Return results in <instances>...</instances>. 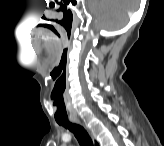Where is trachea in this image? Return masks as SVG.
<instances>
[{
    "instance_id": "trachea-1",
    "label": "trachea",
    "mask_w": 164,
    "mask_h": 146,
    "mask_svg": "<svg viewBox=\"0 0 164 146\" xmlns=\"http://www.w3.org/2000/svg\"><path fill=\"white\" fill-rule=\"evenodd\" d=\"M58 124L73 132L80 146H93L89 134L80 125L72 124L69 121H58Z\"/></svg>"
}]
</instances>
